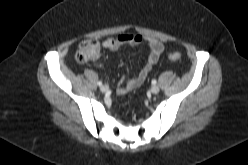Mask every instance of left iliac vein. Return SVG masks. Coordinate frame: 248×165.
I'll return each mask as SVG.
<instances>
[{
	"instance_id": "4c4485c4",
	"label": "left iliac vein",
	"mask_w": 248,
	"mask_h": 165,
	"mask_svg": "<svg viewBox=\"0 0 248 165\" xmlns=\"http://www.w3.org/2000/svg\"><path fill=\"white\" fill-rule=\"evenodd\" d=\"M159 91H160V89H159L158 86L153 85V86L151 87V92H152L153 94H157V93H159Z\"/></svg>"
}]
</instances>
